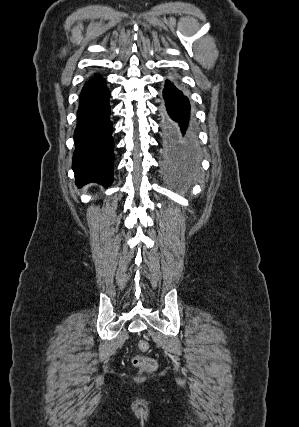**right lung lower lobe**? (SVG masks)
Instances as JSON below:
<instances>
[{
  "label": "right lung lower lobe",
  "instance_id": "obj_1",
  "mask_svg": "<svg viewBox=\"0 0 299 427\" xmlns=\"http://www.w3.org/2000/svg\"><path fill=\"white\" fill-rule=\"evenodd\" d=\"M109 95L101 78L89 80L82 89L72 164L78 186L90 182L108 186L113 181Z\"/></svg>",
  "mask_w": 299,
  "mask_h": 427
}]
</instances>
